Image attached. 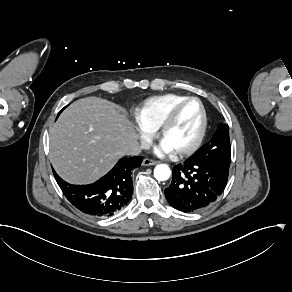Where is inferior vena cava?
Masks as SVG:
<instances>
[{
    "mask_svg": "<svg viewBox=\"0 0 292 292\" xmlns=\"http://www.w3.org/2000/svg\"><path fill=\"white\" fill-rule=\"evenodd\" d=\"M151 146V143L147 142V141H143L141 143V146L139 147H134L132 148L127 155H138L142 149H149Z\"/></svg>",
    "mask_w": 292,
    "mask_h": 292,
    "instance_id": "obj_1",
    "label": "inferior vena cava"
}]
</instances>
